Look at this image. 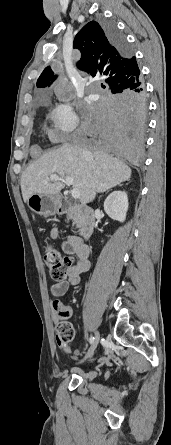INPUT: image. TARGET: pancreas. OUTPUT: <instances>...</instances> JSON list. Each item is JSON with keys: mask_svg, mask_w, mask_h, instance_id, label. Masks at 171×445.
Here are the masks:
<instances>
[{"mask_svg": "<svg viewBox=\"0 0 171 445\" xmlns=\"http://www.w3.org/2000/svg\"><path fill=\"white\" fill-rule=\"evenodd\" d=\"M73 225H76L77 228H81L82 227V222L76 218L73 219Z\"/></svg>", "mask_w": 171, "mask_h": 445, "instance_id": "cf45deb5", "label": "pancreas"}]
</instances>
